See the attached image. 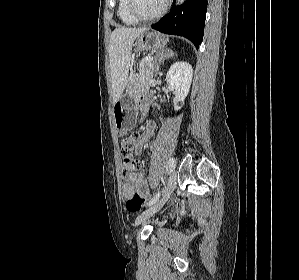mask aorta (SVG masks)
Returning a JSON list of instances; mask_svg holds the SVG:
<instances>
[{
	"label": "aorta",
	"mask_w": 299,
	"mask_h": 280,
	"mask_svg": "<svg viewBox=\"0 0 299 280\" xmlns=\"http://www.w3.org/2000/svg\"><path fill=\"white\" fill-rule=\"evenodd\" d=\"M185 0H176L177 4H182Z\"/></svg>",
	"instance_id": "obj_1"
}]
</instances>
